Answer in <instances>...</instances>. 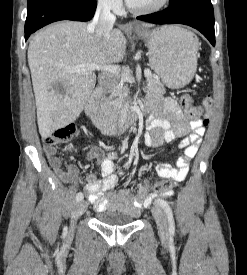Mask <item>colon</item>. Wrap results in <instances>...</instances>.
Returning <instances> with one entry per match:
<instances>
[{
    "mask_svg": "<svg viewBox=\"0 0 247 275\" xmlns=\"http://www.w3.org/2000/svg\"><path fill=\"white\" fill-rule=\"evenodd\" d=\"M181 103L188 117L195 119L202 114V107L194 106L192 97L184 96L182 98ZM211 107H212V98L208 96L203 101V108L205 109V115H204L205 125L208 124L209 122ZM77 134H78L77 126L75 124H68L55 130L51 135L46 136L44 139V142L46 145H50V146L63 144L75 138ZM172 186H173V182L171 180H166L159 184H156L153 189L155 193L162 194L171 190Z\"/></svg>",
    "mask_w": 247,
    "mask_h": 275,
    "instance_id": "obj_1",
    "label": "colon"
}]
</instances>
